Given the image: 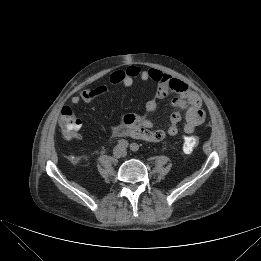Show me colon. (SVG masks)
<instances>
[{
  "instance_id": "5ec220e1",
  "label": "colon",
  "mask_w": 261,
  "mask_h": 261,
  "mask_svg": "<svg viewBox=\"0 0 261 261\" xmlns=\"http://www.w3.org/2000/svg\"><path fill=\"white\" fill-rule=\"evenodd\" d=\"M80 121L73 114L70 107L65 106L59 118V126L63 135L70 139L74 137L76 131L79 129ZM199 140L196 136L191 134H185L182 139V148L186 153H190L196 149Z\"/></svg>"
}]
</instances>
